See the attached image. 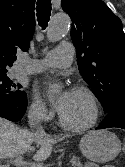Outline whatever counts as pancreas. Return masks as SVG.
I'll list each match as a JSON object with an SVG mask.
<instances>
[{
    "instance_id": "1",
    "label": "pancreas",
    "mask_w": 125,
    "mask_h": 167,
    "mask_svg": "<svg viewBox=\"0 0 125 167\" xmlns=\"http://www.w3.org/2000/svg\"><path fill=\"white\" fill-rule=\"evenodd\" d=\"M73 160L75 161V163H73L74 167H82L79 158L73 157ZM105 167H112V166H105Z\"/></svg>"
}]
</instances>
